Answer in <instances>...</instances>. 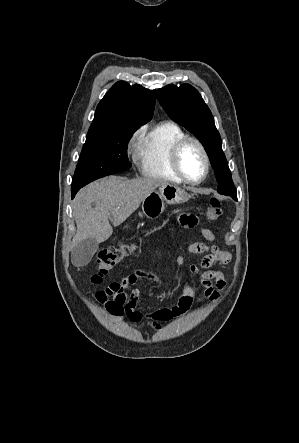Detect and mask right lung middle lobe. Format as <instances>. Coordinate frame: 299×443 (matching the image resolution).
Listing matches in <instances>:
<instances>
[{"label":"right lung middle lobe","mask_w":299,"mask_h":443,"mask_svg":"<svg viewBox=\"0 0 299 443\" xmlns=\"http://www.w3.org/2000/svg\"><path fill=\"white\" fill-rule=\"evenodd\" d=\"M138 128H114L87 135L71 190H79L96 179L128 170L131 163L127 157V143Z\"/></svg>","instance_id":"1"}]
</instances>
